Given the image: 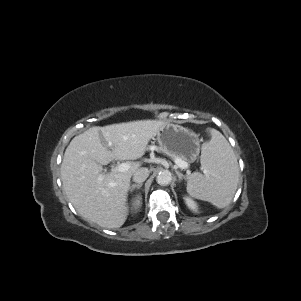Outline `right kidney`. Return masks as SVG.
Segmentation results:
<instances>
[{
	"mask_svg": "<svg viewBox=\"0 0 301 301\" xmlns=\"http://www.w3.org/2000/svg\"><path fill=\"white\" fill-rule=\"evenodd\" d=\"M140 205H141V199L138 197L133 201V207L135 209H138L140 207Z\"/></svg>",
	"mask_w": 301,
	"mask_h": 301,
	"instance_id": "right-kidney-1",
	"label": "right kidney"
}]
</instances>
